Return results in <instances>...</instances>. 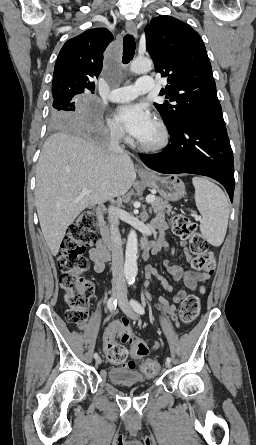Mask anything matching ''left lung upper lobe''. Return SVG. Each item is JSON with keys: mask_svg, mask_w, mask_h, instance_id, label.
<instances>
[{"mask_svg": "<svg viewBox=\"0 0 256 445\" xmlns=\"http://www.w3.org/2000/svg\"><path fill=\"white\" fill-rule=\"evenodd\" d=\"M146 49L156 71L169 85L161 95L174 102L156 104L169 129L183 117H223L205 45L188 24L166 15L151 20L145 29Z\"/></svg>", "mask_w": 256, "mask_h": 445, "instance_id": "5c2ea615", "label": "left lung upper lobe"}]
</instances>
